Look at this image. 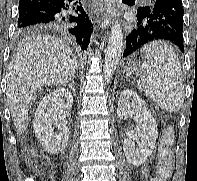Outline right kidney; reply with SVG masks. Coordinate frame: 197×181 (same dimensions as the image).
Here are the masks:
<instances>
[{"instance_id":"ca27d5eb","label":"right kidney","mask_w":197,"mask_h":181,"mask_svg":"<svg viewBox=\"0 0 197 181\" xmlns=\"http://www.w3.org/2000/svg\"><path fill=\"white\" fill-rule=\"evenodd\" d=\"M73 105V96L67 89H58L44 96L39 103L33 120V128L41 145L50 154L63 152L67 147L70 131L61 122L65 111ZM57 126L58 132H54Z\"/></svg>"}]
</instances>
